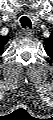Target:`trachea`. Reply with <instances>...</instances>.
<instances>
[{
    "label": "trachea",
    "instance_id": "1",
    "mask_svg": "<svg viewBox=\"0 0 53 120\" xmlns=\"http://www.w3.org/2000/svg\"><path fill=\"white\" fill-rule=\"evenodd\" d=\"M20 23L23 28H25V27L31 28L32 27L31 20L26 16H23L20 18Z\"/></svg>",
    "mask_w": 53,
    "mask_h": 120
}]
</instances>
